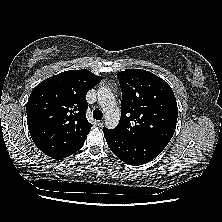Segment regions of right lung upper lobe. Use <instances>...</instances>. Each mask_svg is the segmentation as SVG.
Instances as JSON below:
<instances>
[{"instance_id":"1","label":"right lung upper lobe","mask_w":222,"mask_h":222,"mask_svg":"<svg viewBox=\"0 0 222 222\" xmlns=\"http://www.w3.org/2000/svg\"><path fill=\"white\" fill-rule=\"evenodd\" d=\"M101 78L86 69L70 70L39 83L27 105V124L35 145L49 157L82 148L92 125L86 118L87 92Z\"/></svg>"}]
</instances>
